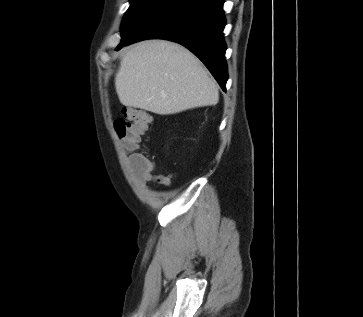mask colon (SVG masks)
Listing matches in <instances>:
<instances>
[{
  "label": "colon",
  "mask_w": 363,
  "mask_h": 317,
  "mask_svg": "<svg viewBox=\"0 0 363 317\" xmlns=\"http://www.w3.org/2000/svg\"><path fill=\"white\" fill-rule=\"evenodd\" d=\"M150 123L151 116L135 108H125L122 116L114 122L116 135L121 140L124 150L131 154L130 162L133 165H140L145 160L144 154L137 152V149Z\"/></svg>",
  "instance_id": "colon-1"
}]
</instances>
